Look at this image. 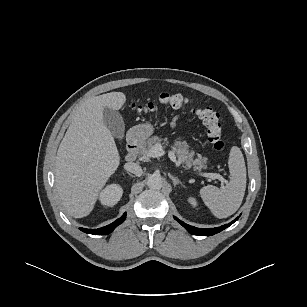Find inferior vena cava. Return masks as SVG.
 Instances as JSON below:
<instances>
[{
	"instance_id": "obj_1",
	"label": "inferior vena cava",
	"mask_w": 307,
	"mask_h": 307,
	"mask_svg": "<svg viewBox=\"0 0 307 307\" xmlns=\"http://www.w3.org/2000/svg\"><path fill=\"white\" fill-rule=\"evenodd\" d=\"M124 168L128 172H131V173L135 174L138 177L141 176L142 173H143V170H142L141 166L138 165L137 163H134V162L126 163L124 165Z\"/></svg>"
}]
</instances>
